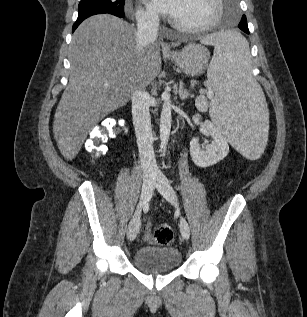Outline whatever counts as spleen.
<instances>
[{"label": "spleen", "mask_w": 307, "mask_h": 317, "mask_svg": "<svg viewBox=\"0 0 307 317\" xmlns=\"http://www.w3.org/2000/svg\"><path fill=\"white\" fill-rule=\"evenodd\" d=\"M201 44L214 47L207 77L215 92L210 116L243 160H260L271 122L264 91L250 74L249 45L237 29L204 33Z\"/></svg>", "instance_id": "obj_1"}]
</instances>
